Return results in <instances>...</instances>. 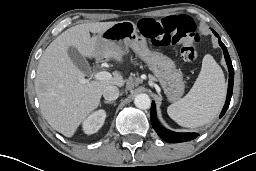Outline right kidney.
<instances>
[{"label": "right kidney", "instance_id": "obj_1", "mask_svg": "<svg viewBox=\"0 0 256 171\" xmlns=\"http://www.w3.org/2000/svg\"><path fill=\"white\" fill-rule=\"evenodd\" d=\"M106 118V112L105 110H98L91 115H89L84 121H83V131L86 134H93L96 133L103 125Z\"/></svg>", "mask_w": 256, "mask_h": 171}]
</instances>
